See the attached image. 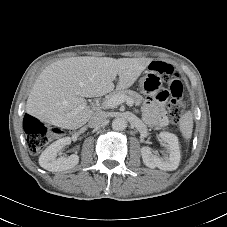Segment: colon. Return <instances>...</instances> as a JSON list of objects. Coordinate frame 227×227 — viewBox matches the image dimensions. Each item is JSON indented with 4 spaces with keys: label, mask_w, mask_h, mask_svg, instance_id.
Returning a JSON list of instances; mask_svg holds the SVG:
<instances>
[{
    "label": "colon",
    "mask_w": 227,
    "mask_h": 227,
    "mask_svg": "<svg viewBox=\"0 0 227 227\" xmlns=\"http://www.w3.org/2000/svg\"><path fill=\"white\" fill-rule=\"evenodd\" d=\"M150 69L161 73L169 82L170 101L168 112L173 123H178L184 113V103L182 101L183 85L179 75L173 67L164 62H153ZM24 130L27 135V145L32 153H37L43 149L49 141L51 129L46 127L41 121L33 116L24 118Z\"/></svg>",
    "instance_id": "obj_1"
}]
</instances>
